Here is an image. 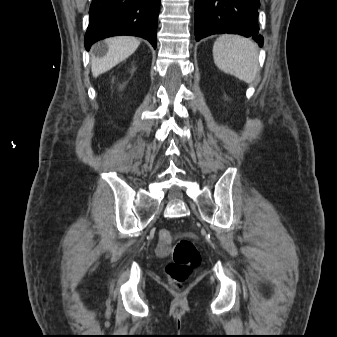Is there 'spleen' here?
Returning a JSON list of instances; mask_svg holds the SVG:
<instances>
[{"label":"spleen","mask_w":337,"mask_h":337,"mask_svg":"<svg viewBox=\"0 0 337 337\" xmlns=\"http://www.w3.org/2000/svg\"><path fill=\"white\" fill-rule=\"evenodd\" d=\"M213 58L224 73L251 83L258 71V50L250 39L239 35H222L214 42Z\"/></svg>","instance_id":"1"}]
</instances>
